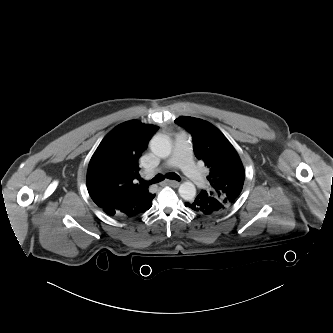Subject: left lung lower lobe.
Segmentation results:
<instances>
[{
    "label": "left lung lower lobe",
    "mask_w": 333,
    "mask_h": 333,
    "mask_svg": "<svg viewBox=\"0 0 333 333\" xmlns=\"http://www.w3.org/2000/svg\"><path fill=\"white\" fill-rule=\"evenodd\" d=\"M185 206L204 215H216L223 212L222 203L204 191L185 203Z\"/></svg>",
    "instance_id": "0a47b994"
}]
</instances>
